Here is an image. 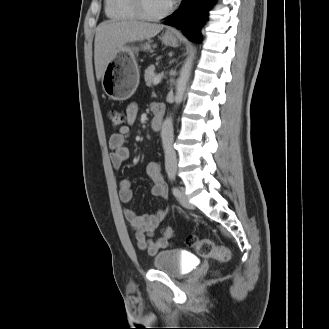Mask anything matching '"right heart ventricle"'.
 <instances>
[{
	"mask_svg": "<svg viewBox=\"0 0 329 329\" xmlns=\"http://www.w3.org/2000/svg\"><path fill=\"white\" fill-rule=\"evenodd\" d=\"M108 17L115 20H137L139 18L131 0H105Z\"/></svg>",
	"mask_w": 329,
	"mask_h": 329,
	"instance_id": "e07e8e85",
	"label": "right heart ventricle"
}]
</instances>
